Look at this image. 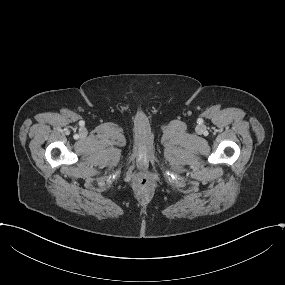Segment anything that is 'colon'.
<instances>
[{
  "instance_id": "5ec220e1",
  "label": "colon",
  "mask_w": 285,
  "mask_h": 285,
  "mask_svg": "<svg viewBox=\"0 0 285 285\" xmlns=\"http://www.w3.org/2000/svg\"><path fill=\"white\" fill-rule=\"evenodd\" d=\"M151 185V180L147 175L143 174L137 177V186L140 189L147 190L151 187Z\"/></svg>"
}]
</instances>
